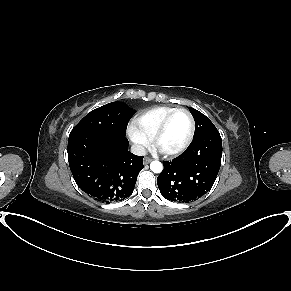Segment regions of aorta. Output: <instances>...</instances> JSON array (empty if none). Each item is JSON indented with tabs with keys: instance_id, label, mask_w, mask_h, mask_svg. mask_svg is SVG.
Masks as SVG:
<instances>
[{
	"instance_id": "1",
	"label": "aorta",
	"mask_w": 291,
	"mask_h": 291,
	"mask_svg": "<svg viewBox=\"0 0 291 291\" xmlns=\"http://www.w3.org/2000/svg\"><path fill=\"white\" fill-rule=\"evenodd\" d=\"M150 169L154 173H160L163 170V165L160 161L155 160L150 163Z\"/></svg>"
}]
</instances>
